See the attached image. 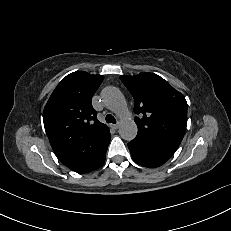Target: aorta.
I'll return each mask as SVG.
<instances>
[{
	"label": "aorta",
	"instance_id": "obj_1",
	"mask_svg": "<svg viewBox=\"0 0 231 231\" xmlns=\"http://www.w3.org/2000/svg\"><path fill=\"white\" fill-rule=\"evenodd\" d=\"M105 106L120 118L119 134L122 139L131 141L137 135V125L129 116L126 101L121 91L116 87H106L101 93Z\"/></svg>",
	"mask_w": 231,
	"mask_h": 231
}]
</instances>
